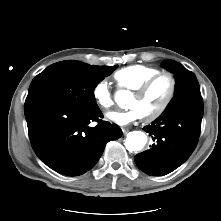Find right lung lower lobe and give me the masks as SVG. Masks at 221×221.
<instances>
[{
    "instance_id": "obj_1",
    "label": "right lung lower lobe",
    "mask_w": 221,
    "mask_h": 221,
    "mask_svg": "<svg viewBox=\"0 0 221 221\" xmlns=\"http://www.w3.org/2000/svg\"><path fill=\"white\" fill-rule=\"evenodd\" d=\"M99 107L79 109L53 101L25 102L29 138L36 155L56 172L78 176L98 162L119 127L102 121ZM91 121L97 126L89 127Z\"/></svg>"
}]
</instances>
